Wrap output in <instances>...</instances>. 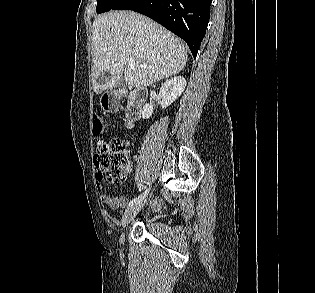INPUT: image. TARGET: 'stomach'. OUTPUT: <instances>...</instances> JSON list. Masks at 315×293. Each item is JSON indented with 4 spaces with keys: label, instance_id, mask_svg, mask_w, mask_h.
<instances>
[{
    "label": "stomach",
    "instance_id": "stomach-1",
    "mask_svg": "<svg viewBox=\"0 0 315 293\" xmlns=\"http://www.w3.org/2000/svg\"><path fill=\"white\" fill-rule=\"evenodd\" d=\"M119 103H121V96L118 92H103L100 100L103 110H119Z\"/></svg>",
    "mask_w": 315,
    "mask_h": 293
}]
</instances>
